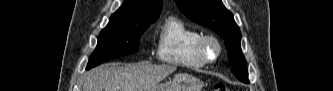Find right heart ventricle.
I'll list each match as a JSON object with an SVG mask.
<instances>
[{"instance_id": "e07e8e85", "label": "right heart ventricle", "mask_w": 333, "mask_h": 91, "mask_svg": "<svg viewBox=\"0 0 333 91\" xmlns=\"http://www.w3.org/2000/svg\"><path fill=\"white\" fill-rule=\"evenodd\" d=\"M203 33L176 17L167 18L158 35L157 56L160 61L179 67L199 69L205 62L197 45Z\"/></svg>"}]
</instances>
